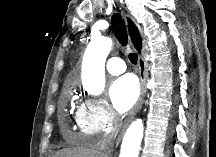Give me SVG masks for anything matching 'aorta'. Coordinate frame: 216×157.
Returning a JSON list of instances; mask_svg holds the SVG:
<instances>
[{"label": "aorta", "instance_id": "aorta-1", "mask_svg": "<svg viewBox=\"0 0 216 157\" xmlns=\"http://www.w3.org/2000/svg\"><path fill=\"white\" fill-rule=\"evenodd\" d=\"M112 48L108 37L92 39L82 63V84L92 95H100L105 87V61ZM144 125L137 119L128 127L121 145L120 157H138Z\"/></svg>", "mask_w": 216, "mask_h": 157}]
</instances>
